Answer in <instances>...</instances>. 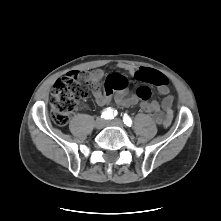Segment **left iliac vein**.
<instances>
[{
  "mask_svg": "<svg viewBox=\"0 0 221 221\" xmlns=\"http://www.w3.org/2000/svg\"><path fill=\"white\" fill-rule=\"evenodd\" d=\"M106 125L123 127V122L120 119H114V120H111V121H107Z\"/></svg>",
  "mask_w": 221,
  "mask_h": 221,
  "instance_id": "left-iliac-vein-1",
  "label": "left iliac vein"
}]
</instances>
